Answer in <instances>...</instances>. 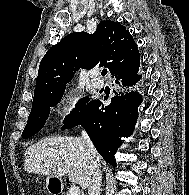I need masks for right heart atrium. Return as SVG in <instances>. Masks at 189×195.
Here are the masks:
<instances>
[{"label":"right heart atrium","instance_id":"1","mask_svg":"<svg viewBox=\"0 0 189 195\" xmlns=\"http://www.w3.org/2000/svg\"><path fill=\"white\" fill-rule=\"evenodd\" d=\"M58 115L61 120L68 122L77 112V96L74 91L66 90L59 98L57 105Z\"/></svg>","mask_w":189,"mask_h":195}]
</instances>
